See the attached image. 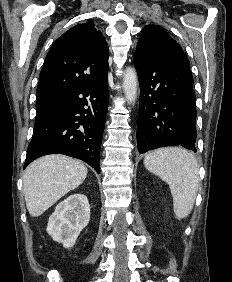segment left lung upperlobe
Masks as SVG:
<instances>
[{
	"label": "left lung upper lobe",
	"instance_id": "obj_1",
	"mask_svg": "<svg viewBox=\"0 0 232 282\" xmlns=\"http://www.w3.org/2000/svg\"><path fill=\"white\" fill-rule=\"evenodd\" d=\"M141 35L135 51L137 54L147 57H156L173 52L184 54L181 46L161 26L147 25L142 30Z\"/></svg>",
	"mask_w": 232,
	"mask_h": 282
}]
</instances>
